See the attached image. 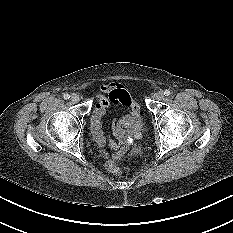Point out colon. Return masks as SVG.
I'll list each match as a JSON object with an SVG mask.
<instances>
[{
    "mask_svg": "<svg viewBox=\"0 0 233 233\" xmlns=\"http://www.w3.org/2000/svg\"><path fill=\"white\" fill-rule=\"evenodd\" d=\"M106 167L109 171L115 174L121 173L122 169L119 166V160L118 159H110L106 163Z\"/></svg>",
    "mask_w": 233,
    "mask_h": 233,
    "instance_id": "1",
    "label": "colon"
}]
</instances>
